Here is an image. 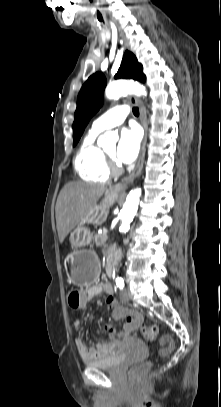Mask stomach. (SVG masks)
<instances>
[{
  "mask_svg": "<svg viewBox=\"0 0 221 407\" xmlns=\"http://www.w3.org/2000/svg\"><path fill=\"white\" fill-rule=\"evenodd\" d=\"M117 199L118 195L116 193L112 191L106 192L102 202L86 215L70 234L73 251L66 256L64 266L75 285L91 284L99 274L98 257L91 249L86 248L91 245L93 234L85 227V224L100 225L105 222L109 212V205L113 204Z\"/></svg>",
  "mask_w": 221,
  "mask_h": 407,
  "instance_id": "0dacf381",
  "label": "stomach"
}]
</instances>
